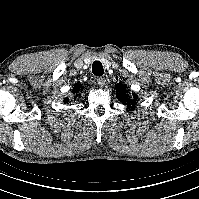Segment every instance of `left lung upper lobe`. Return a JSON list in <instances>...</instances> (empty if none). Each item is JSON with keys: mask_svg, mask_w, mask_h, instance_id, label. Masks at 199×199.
<instances>
[{"mask_svg": "<svg viewBox=\"0 0 199 199\" xmlns=\"http://www.w3.org/2000/svg\"><path fill=\"white\" fill-rule=\"evenodd\" d=\"M125 87V85L117 84L116 88L119 90V93L116 96L122 103H126L128 107H131L133 109L138 96L136 94H132L134 99H130L127 95V90L125 89Z\"/></svg>", "mask_w": 199, "mask_h": 199, "instance_id": "left-lung-upper-lobe-1", "label": "left lung upper lobe"}]
</instances>
